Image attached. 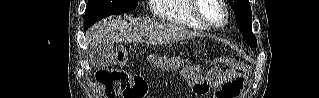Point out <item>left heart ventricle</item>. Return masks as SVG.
Masks as SVG:
<instances>
[{
    "label": "left heart ventricle",
    "instance_id": "left-heart-ventricle-1",
    "mask_svg": "<svg viewBox=\"0 0 319 98\" xmlns=\"http://www.w3.org/2000/svg\"><path fill=\"white\" fill-rule=\"evenodd\" d=\"M200 12L212 24H220L224 19V10L216 0H203Z\"/></svg>",
    "mask_w": 319,
    "mask_h": 98
}]
</instances>
